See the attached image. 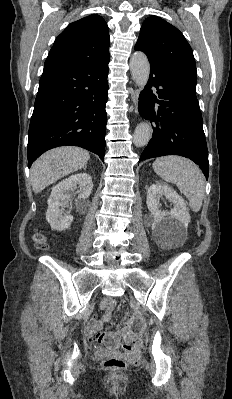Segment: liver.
<instances>
[{"mask_svg": "<svg viewBox=\"0 0 232 399\" xmlns=\"http://www.w3.org/2000/svg\"><path fill=\"white\" fill-rule=\"evenodd\" d=\"M90 160L89 152L73 146H63L49 150L34 162L30 180L33 192L39 194L46 186L54 184L60 178L69 176L86 166Z\"/></svg>", "mask_w": 232, "mask_h": 399, "instance_id": "liver-1", "label": "liver"}]
</instances>
